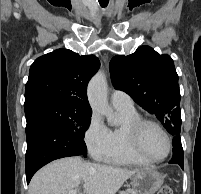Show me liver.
<instances>
[{
  "mask_svg": "<svg viewBox=\"0 0 201 194\" xmlns=\"http://www.w3.org/2000/svg\"><path fill=\"white\" fill-rule=\"evenodd\" d=\"M141 170L90 163L80 157L59 159L33 176L29 194H68L81 184V194H115L127 179Z\"/></svg>",
  "mask_w": 201,
  "mask_h": 194,
  "instance_id": "liver-1",
  "label": "liver"
}]
</instances>
